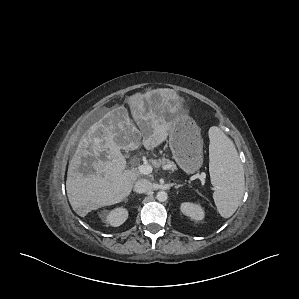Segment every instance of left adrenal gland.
I'll list each match as a JSON object with an SVG mask.
<instances>
[{
	"instance_id": "a2214340",
	"label": "left adrenal gland",
	"mask_w": 299,
	"mask_h": 299,
	"mask_svg": "<svg viewBox=\"0 0 299 299\" xmlns=\"http://www.w3.org/2000/svg\"><path fill=\"white\" fill-rule=\"evenodd\" d=\"M183 185L182 184H178V185H175V188H179V187H182Z\"/></svg>"
}]
</instances>
